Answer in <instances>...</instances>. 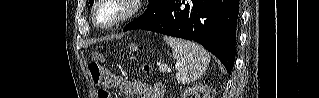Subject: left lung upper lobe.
Instances as JSON below:
<instances>
[{
	"label": "left lung upper lobe",
	"mask_w": 319,
	"mask_h": 98,
	"mask_svg": "<svg viewBox=\"0 0 319 98\" xmlns=\"http://www.w3.org/2000/svg\"><path fill=\"white\" fill-rule=\"evenodd\" d=\"M90 5L92 6L94 0H89ZM163 3L164 0H149V5L147 10L139 18L130 22L128 26H131L134 29L140 28L144 25L150 24L156 20L163 12Z\"/></svg>",
	"instance_id": "left-lung-upper-lobe-1"
}]
</instances>
